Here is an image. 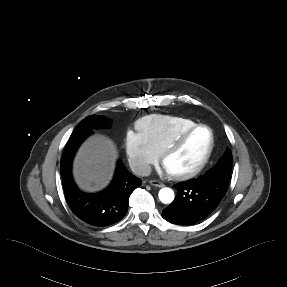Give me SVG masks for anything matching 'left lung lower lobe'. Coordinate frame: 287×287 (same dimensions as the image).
<instances>
[{
	"instance_id": "obj_1",
	"label": "left lung lower lobe",
	"mask_w": 287,
	"mask_h": 287,
	"mask_svg": "<svg viewBox=\"0 0 287 287\" xmlns=\"http://www.w3.org/2000/svg\"><path fill=\"white\" fill-rule=\"evenodd\" d=\"M229 179L222 170L212 169L207 177L174 185L177 195L163 210L162 217L169 222L191 225L209 216L224 197Z\"/></svg>"
}]
</instances>
